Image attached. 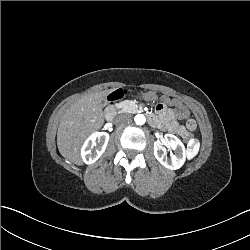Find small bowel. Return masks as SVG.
I'll return each mask as SVG.
<instances>
[{
    "label": "small bowel",
    "instance_id": "small-bowel-1",
    "mask_svg": "<svg viewBox=\"0 0 250 250\" xmlns=\"http://www.w3.org/2000/svg\"><path fill=\"white\" fill-rule=\"evenodd\" d=\"M176 117H177L178 119H180V120H186L187 123H188L189 121L194 123V121L189 117V112H188L186 109H183V108L178 109V110L176 111ZM150 118H151L152 120L158 119L161 123H165V124H167V125L173 126V124H174L173 121H171L170 119H168L167 117H165V114H162L161 117H158V116L154 115V116H151ZM194 124H195V123H194Z\"/></svg>",
    "mask_w": 250,
    "mask_h": 250
}]
</instances>
